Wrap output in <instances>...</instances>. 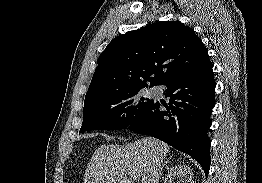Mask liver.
I'll use <instances>...</instances> for the list:
<instances>
[{"mask_svg":"<svg viewBox=\"0 0 262 183\" xmlns=\"http://www.w3.org/2000/svg\"><path fill=\"white\" fill-rule=\"evenodd\" d=\"M170 152L169 146L152 137L119 145H101L92 155L85 183H130L129 173L137 174L141 183H158Z\"/></svg>","mask_w":262,"mask_h":183,"instance_id":"1","label":"liver"}]
</instances>
